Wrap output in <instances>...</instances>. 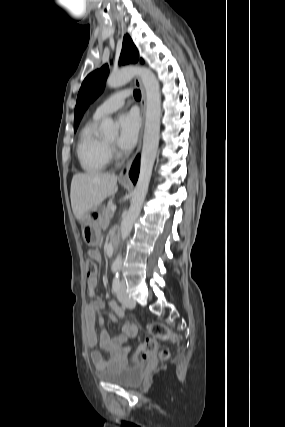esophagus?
Wrapping results in <instances>:
<instances>
[{
  "label": "esophagus",
  "instance_id": "34e87169",
  "mask_svg": "<svg viewBox=\"0 0 285 427\" xmlns=\"http://www.w3.org/2000/svg\"><path fill=\"white\" fill-rule=\"evenodd\" d=\"M134 84L136 87H138L140 89L141 95H142L141 102H140V116H141V120H142V126L140 129L139 142H138L137 150H136L135 154L126 162V164L123 166V168L119 174V179L124 180V181L129 180L130 168L132 166L134 159L136 158V156L138 155V153L141 149L142 136H143V125H144L145 116H146L147 98H146L145 88H144L142 81L139 77L134 78Z\"/></svg>",
  "mask_w": 285,
  "mask_h": 427
}]
</instances>
